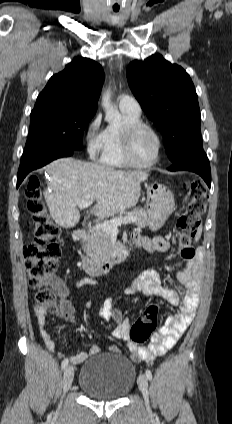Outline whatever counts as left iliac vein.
Returning <instances> with one entry per match:
<instances>
[{
	"label": "left iliac vein",
	"instance_id": "1",
	"mask_svg": "<svg viewBox=\"0 0 232 424\" xmlns=\"http://www.w3.org/2000/svg\"><path fill=\"white\" fill-rule=\"evenodd\" d=\"M138 385L139 389L145 399L146 407L148 410H150L149 406V394H148V380L147 377L144 374H140L138 377Z\"/></svg>",
	"mask_w": 232,
	"mask_h": 424
}]
</instances>
